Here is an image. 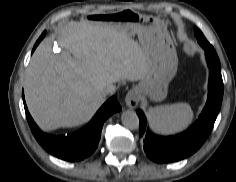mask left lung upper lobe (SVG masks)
<instances>
[{
	"instance_id": "obj_1",
	"label": "left lung upper lobe",
	"mask_w": 236,
	"mask_h": 182,
	"mask_svg": "<svg viewBox=\"0 0 236 182\" xmlns=\"http://www.w3.org/2000/svg\"><path fill=\"white\" fill-rule=\"evenodd\" d=\"M194 31L198 43L206 52L208 66L216 69H221L219 58L213 46L206 40L203 33L197 27H195Z\"/></svg>"
}]
</instances>
